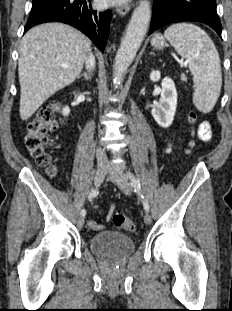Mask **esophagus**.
Wrapping results in <instances>:
<instances>
[{
	"label": "esophagus",
	"mask_w": 232,
	"mask_h": 311,
	"mask_svg": "<svg viewBox=\"0 0 232 311\" xmlns=\"http://www.w3.org/2000/svg\"><path fill=\"white\" fill-rule=\"evenodd\" d=\"M131 8V5L118 6L116 11L119 15L126 16L130 12Z\"/></svg>",
	"instance_id": "esophagus-1"
}]
</instances>
